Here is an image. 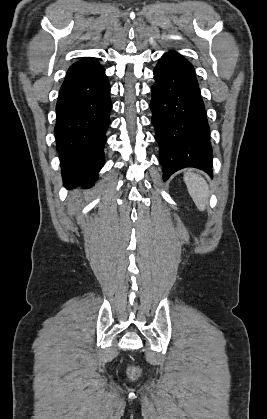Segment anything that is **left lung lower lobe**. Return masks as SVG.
Masks as SVG:
<instances>
[{
  "instance_id": "0a47b994",
  "label": "left lung lower lobe",
  "mask_w": 267,
  "mask_h": 419,
  "mask_svg": "<svg viewBox=\"0 0 267 419\" xmlns=\"http://www.w3.org/2000/svg\"><path fill=\"white\" fill-rule=\"evenodd\" d=\"M153 73L150 108L163 179L185 167L199 168L212 176L209 125L193 65L169 51Z\"/></svg>"
}]
</instances>
